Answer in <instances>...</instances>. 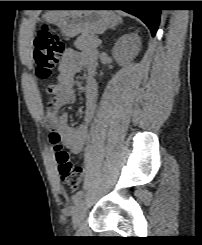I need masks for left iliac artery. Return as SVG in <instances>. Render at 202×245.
<instances>
[{
	"label": "left iliac artery",
	"instance_id": "left-iliac-artery-1",
	"mask_svg": "<svg viewBox=\"0 0 202 245\" xmlns=\"http://www.w3.org/2000/svg\"><path fill=\"white\" fill-rule=\"evenodd\" d=\"M82 195H83L82 190H79L78 192H76L72 197L73 202L77 203L79 201V199L82 197Z\"/></svg>",
	"mask_w": 202,
	"mask_h": 245
}]
</instances>
